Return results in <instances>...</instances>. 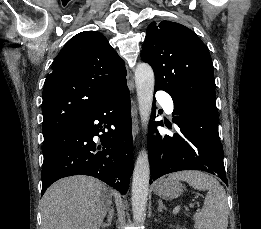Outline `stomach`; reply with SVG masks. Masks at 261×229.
Wrapping results in <instances>:
<instances>
[{
  "label": "stomach",
  "instance_id": "stomach-1",
  "mask_svg": "<svg viewBox=\"0 0 261 229\" xmlns=\"http://www.w3.org/2000/svg\"><path fill=\"white\" fill-rule=\"evenodd\" d=\"M153 191L161 199L172 201V199H177L182 195L183 187L176 179H159V181H156Z\"/></svg>",
  "mask_w": 261,
  "mask_h": 229
}]
</instances>
